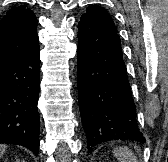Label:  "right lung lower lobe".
I'll list each match as a JSON object with an SVG mask.
<instances>
[{"label": "right lung lower lobe", "instance_id": "98d812e1", "mask_svg": "<svg viewBox=\"0 0 168 162\" xmlns=\"http://www.w3.org/2000/svg\"><path fill=\"white\" fill-rule=\"evenodd\" d=\"M39 48L0 67V143L39 148Z\"/></svg>", "mask_w": 168, "mask_h": 162}]
</instances>
